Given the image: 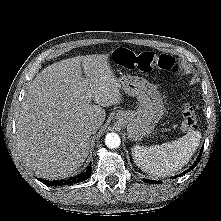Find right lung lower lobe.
I'll return each instance as SVG.
<instances>
[{
  "instance_id": "obj_1",
  "label": "right lung lower lobe",
  "mask_w": 221,
  "mask_h": 221,
  "mask_svg": "<svg viewBox=\"0 0 221 221\" xmlns=\"http://www.w3.org/2000/svg\"><path fill=\"white\" fill-rule=\"evenodd\" d=\"M91 167L89 166L86 171L80 175H77L75 177H71L67 180H58V181H44V180H41V179H38L39 181H41L42 183L46 184V185H55V186H62V185H69V184H73V183H76V182H81L87 178H89L90 174H91Z\"/></svg>"
}]
</instances>
